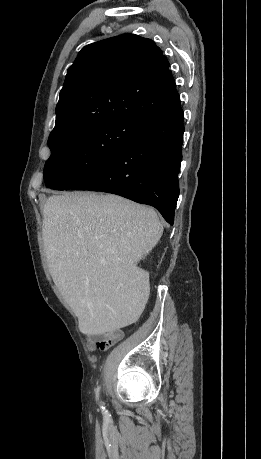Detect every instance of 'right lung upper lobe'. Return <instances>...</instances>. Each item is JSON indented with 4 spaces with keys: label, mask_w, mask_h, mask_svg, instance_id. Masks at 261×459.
<instances>
[{
    "label": "right lung upper lobe",
    "mask_w": 261,
    "mask_h": 459,
    "mask_svg": "<svg viewBox=\"0 0 261 459\" xmlns=\"http://www.w3.org/2000/svg\"><path fill=\"white\" fill-rule=\"evenodd\" d=\"M180 104L169 62L154 41L122 34L84 47L69 67L50 136L116 120L148 122Z\"/></svg>",
    "instance_id": "right-lung-upper-lobe-1"
}]
</instances>
